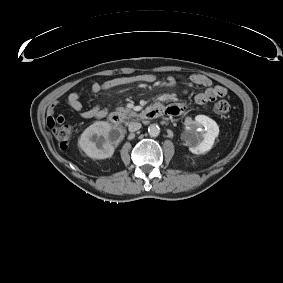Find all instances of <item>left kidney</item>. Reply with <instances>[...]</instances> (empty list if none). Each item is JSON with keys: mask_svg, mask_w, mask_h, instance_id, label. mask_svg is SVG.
Instances as JSON below:
<instances>
[{"mask_svg": "<svg viewBox=\"0 0 283 283\" xmlns=\"http://www.w3.org/2000/svg\"><path fill=\"white\" fill-rule=\"evenodd\" d=\"M204 127V129H202ZM188 134L186 144L194 154H204L211 150L215 138L219 134L217 123L205 115H197L195 123L187 127Z\"/></svg>", "mask_w": 283, "mask_h": 283, "instance_id": "obj_1", "label": "left kidney"}]
</instances>
